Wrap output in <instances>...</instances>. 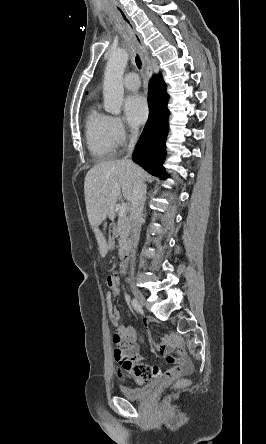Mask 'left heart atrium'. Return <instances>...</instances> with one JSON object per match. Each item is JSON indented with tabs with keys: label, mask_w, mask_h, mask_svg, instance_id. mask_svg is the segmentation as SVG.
<instances>
[{
	"label": "left heart atrium",
	"mask_w": 266,
	"mask_h": 444,
	"mask_svg": "<svg viewBox=\"0 0 266 444\" xmlns=\"http://www.w3.org/2000/svg\"><path fill=\"white\" fill-rule=\"evenodd\" d=\"M124 111L127 120L134 126L144 123L149 113L145 98L139 94H131L125 99Z\"/></svg>",
	"instance_id": "left-heart-atrium-1"
}]
</instances>
